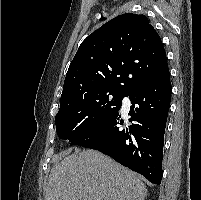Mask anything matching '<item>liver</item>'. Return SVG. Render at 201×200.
I'll return each mask as SVG.
<instances>
[{"instance_id":"6515ba94","label":"liver","mask_w":201,"mask_h":200,"mask_svg":"<svg viewBox=\"0 0 201 200\" xmlns=\"http://www.w3.org/2000/svg\"><path fill=\"white\" fill-rule=\"evenodd\" d=\"M147 189L136 175L94 150H75L50 172L45 200H144Z\"/></svg>"}]
</instances>
